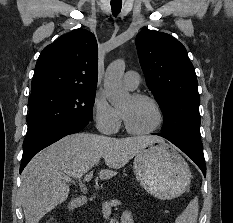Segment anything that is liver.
I'll return each instance as SVG.
<instances>
[{
	"label": "liver",
	"mask_w": 233,
	"mask_h": 223,
	"mask_svg": "<svg viewBox=\"0 0 233 223\" xmlns=\"http://www.w3.org/2000/svg\"><path fill=\"white\" fill-rule=\"evenodd\" d=\"M164 141L158 135L107 137L97 133H72L34 155L21 173L20 201L25 223H39L40 219L66 201L70 187L64 175L80 179L103 157L107 167L98 171L99 179L117 175L141 149Z\"/></svg>",
	"instance_id": "obj_1"
}]
</instances>
